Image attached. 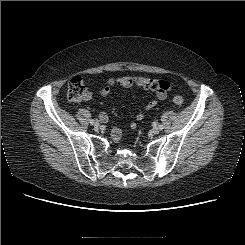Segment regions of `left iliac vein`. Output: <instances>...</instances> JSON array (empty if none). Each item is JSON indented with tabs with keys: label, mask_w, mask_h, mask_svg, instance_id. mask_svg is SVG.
<instances>
[{
	"label": "left iliac vein",
	"mask_w": 245,
	"mask_h": 245,
	"mask_svg": "<svg viewBox=\"0 0 245 245\" xmlns=\"http://www.w3.org/2000/svg\"><path fill=\"white\" fill-rule=\"evenodd\" d=\"M153 134H158L160 132V128L159 127H154L152 130Z\"/></svg>",
	"instance_id": "obj_1"
}]
</instances>
